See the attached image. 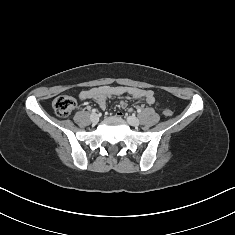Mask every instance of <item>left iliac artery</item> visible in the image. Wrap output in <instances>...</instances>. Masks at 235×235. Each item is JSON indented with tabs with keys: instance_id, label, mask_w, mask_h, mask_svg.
<instances>
[{
	"instance_id": "1",
	"label": "left iliac artery",
	"mask_w": 235,
	"mask_h": 235,
	"mask_svg": "<svg viewBox=\"0 0 235 235\" xmlns=\"http://www.w3.org/2000/svg\"><path fill=\"white\" fill-rule=\"evenodd\" d=\"M141 111H142V110H141L140 108L137 109V112H138V113H141Z\"/></svg>"
}]
</instances>
